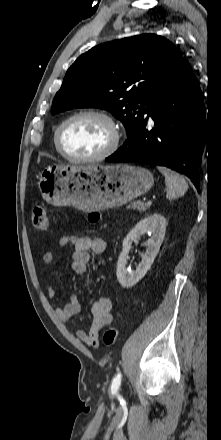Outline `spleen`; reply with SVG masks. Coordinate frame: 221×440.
Returning a JSON list of instances; mask_svg holds the SVG:
<instances>
[{"label": "spleen", "instance_id": "1", "mask_svg": "<svg viewBox=\"0 0 221 440\" xmlns=\"http://www.w3.org/2000/svg\"><path fill=\"white\" fill-rule=\"evenodd\" d=\"M157 169L165 177V183L168 188L166 194L167 199H177L186 193L188 190V183L183 176L163 166H158Z\"/></svg>", "mask_w": 221, "mask_h": 440}]
</instances>
